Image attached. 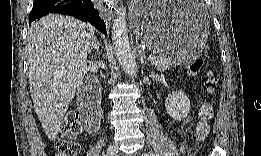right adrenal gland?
I'll return each mask as SVG.
<instances>
[{"label": "right adrenal gland", "mask_w": 261, "mask_h": 156, "mask_svg": "<svg viewBox=\"0 0 261 156\" xmlns=\"http://www.w3.org/2000/svg\"><path fill=\"white\" fill-rule=\"evenodd\" d=\"M94 50H96V55H101L102 51L100 50V43L97 41L96 37L93 43L91 44L88 52L91 54Z\"/></svg>", "instance_id": "1"}]
</instances>
